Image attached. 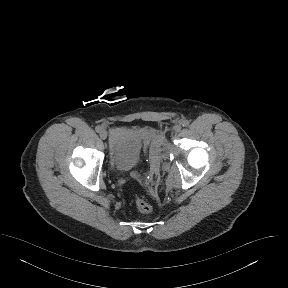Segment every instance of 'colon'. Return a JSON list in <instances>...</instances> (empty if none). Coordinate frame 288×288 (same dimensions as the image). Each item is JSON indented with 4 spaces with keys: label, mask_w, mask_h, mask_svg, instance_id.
<instances>
[{
    "label": "colon",
    "mask_w": 288,
    "mask_h": 288,
    "mask_svg": "<svg viewBox=\"0 0 288 288\" xmlns=\"http://www.w3.org/2000/svg\"><path fill=\"white\" fill-rule=\"evenodd\" d=\"M135 207L141 214H146L152 211L151 205L142 197L135 198Z\"/></svg>",
    "instance_id": "obj_1"
}]
</instances>
